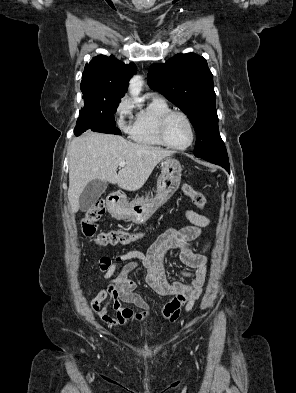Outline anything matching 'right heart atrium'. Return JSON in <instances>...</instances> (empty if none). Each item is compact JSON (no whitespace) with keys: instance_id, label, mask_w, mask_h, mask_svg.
Wrapping results in <instances>:
<instances>
[{"instance_id":"1","label":"right heart atrium","mask_w":296,"mask_h":393,"mask_svg":"<svg viewBox=\"0 0 296 393\" xmlns=\"http://www.w3.org/2000/svg\"><path fill=\"white\" fill-rule=\"evenodd\" d=\"M117 124L128 135L132 134L134 126L133 104L131 99L123 98L116 107Z\"/></svg>"}]
</instances>
